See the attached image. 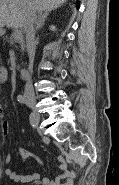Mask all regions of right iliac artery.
<instances>
[{
  "label": "right iliac artery",
  "instance_id": "82829eb1",
  "mask_svg": "<svg viewBox=\"0 0 119 185\" xmlns=\"http://www.w3.org/2000/svg\"><path fill=\"white\" fill-rule=\"evenodd\" d=\"M17 100H18V102H20V103H22V104H25V103H26V99H25V97L22 96V95H18V96H17ZM31 116H34V113H31ZM30 120H31V121H30L29 123L32 125L33 128H35V125H33V124L36 123V122L34 121L35 119H34V118H31Z\"/></svg>",
  "mask_w": 119,
  "mask_h": 185
}]
</instances>
